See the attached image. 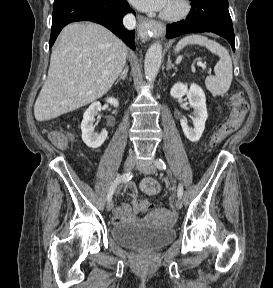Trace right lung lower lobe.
I'll use <instances>...</instances> for the list:
<instances>
[{"mask_svg":"<svg viewBox=\"0 0 273 288\" xmlns=\"http://www.w3.org/2000/svg\"><path fill=\"white\" fill-rule=\"evenodd\" d=\"M130 11L126 0H55L49 48L67 24L93 21L111 30L134 50L135 31L126 30L122 24L124 15Z\"/></svg>","mask_w":273,"mask_h":288,"instance_id":"1","label":"right lung lower lobe"}]
</instances>
